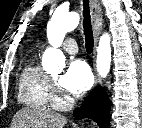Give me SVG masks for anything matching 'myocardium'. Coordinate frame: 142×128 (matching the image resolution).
Listing matches in <instances>:
<instances>
[{
  "label": "myocardium",
  "mask_w": 142,
  "mask_h": 128,
  "mask_svg": "<svg viewBox=\"0 0 142 128\" xmlns=\"http://www.w3.org/2000/svg\"><path fill=\"white\" fill-rule=\"evenodd\" d=\"M72 101L67 96L63 95L59 89H55L52 95V105L58 109H66L70 107Z\"/></svg>",
  "instance_id": "1"
}]
</instances>
